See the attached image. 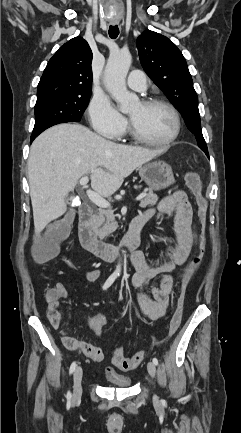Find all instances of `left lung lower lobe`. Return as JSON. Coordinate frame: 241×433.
Masks as SVG:
<instances>
[{
	"instance_id": "left-lung-lower-lobe-1",
	"label": "left lung lower lobe",
	"mask_w": 241,
	"mask_h": 433,
	"mask_svg": "<svg viewBox=\"0 0 241 433\" xmlns=\"http://www.w3.org/2000/svg\"><path fill=\"white\" fill-rule=\"evenodd\" d=\"M207 156H209L208 151H204Z\"/></svg>"
}]
</instances>
